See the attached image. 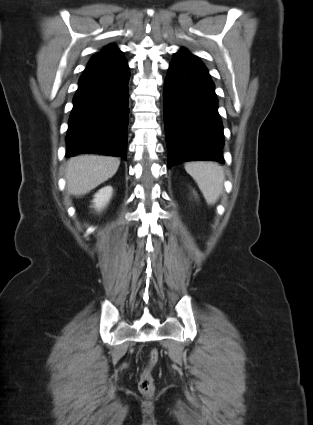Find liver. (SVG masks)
Here are the masks:
<instances>
[{"label": "liver", "mask_w": 313, "mask_h": 425, "mask_svg": "<svg viewBox=\"0 0 313 425\" xmlns=\"http://www.w3.org/2000/svg\"><path fill=\"white\" fill-rule=\"evenodd\" d=\"M119 165L116 157L81 155L71 158L65 172L68 192L77 197L89 193L111 178Z\"/></svg>", "instance_id": "6515ba94"}]
</instances>
